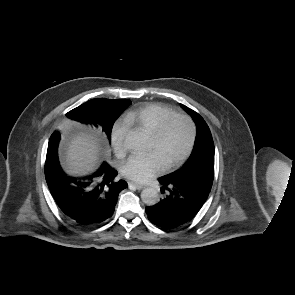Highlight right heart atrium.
<instances>
[{"mask_svg": "<svg viewBox=\"0 0 295 295\" xmlns=\"http://www.w3.org/2000/svg\"><path fill=\"white\" fill-rule=\"evenodd\" d=\"M127 134V127L122 122H115L111 128L110 141L114 153L122 157L126 153L125 137Z\"/></svg>", "mask_w": 295, "mask_h": 295, "instance_id": "obj_1", "label": "right heart atrium"}]
</instances>
